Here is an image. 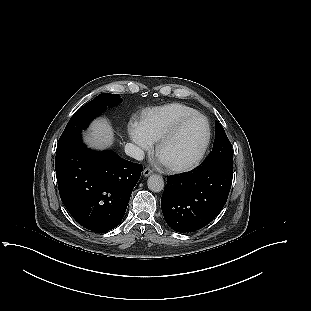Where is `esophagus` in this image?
<instances>
[{
  "instance_id": "esophagus-1",
  "label": "esophagus",
  "mask_w": 311,
  "mask_h": 311,
  "mask_svg": "<svg viewBox=\"0 0 311 311\" xmlns=\"http://www.w3.org/2000/svg\"><path fill=\"white\" fill-rule=\"evenodd\" d=\"M152 172H153V171H152L150 168H145V169L143 170V175H144L145 177H147V176L151 175Z\"/></svg>"
}]
</instances>
